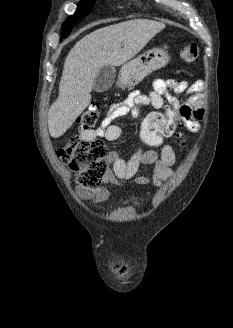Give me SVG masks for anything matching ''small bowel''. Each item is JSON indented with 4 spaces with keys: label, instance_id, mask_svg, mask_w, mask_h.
<instances>
[{
    "label": "small bowel",
    "instance_id": "obj_1",
    "mask_svg": "<svg viewBox=\"0 0 233 328\" xmlns=\"http://www.w3.org/2000/svg\"><path fill=\"white\" fill-rule=\"evenodd\" d=\"M169 89L176 93L188 94V100L180 104L168 93ZM202 96L203 81L201 80L189 84L187 81H177L175 79H156L150 92L133 91L122 102L112 104L100 126L96 130L83 131L80 137L85 140L103 137L108 141H115L122 134L121 127L112 124L115 119L127 115L136 118L143 106L161 109L166 104L170 106L172 111L180 114L184 126L189 131L197 132L200 129V121L204 116ZM108 160L113 164V169L107 172L104 178L105 183L121 185L126 180L134 179L140 185L152 183L160 187L164 181L173 175L172 166L176 157L173 148L168 144H163L160 151L140 149L128 160L120 158L115 151H111L108 154ZM142 165L152 166L151 177L139 173ZM76 193L81 199L88 200L93 204L106 201L110 195L109 190L105 187L94 191L77 187ZM114 267L119 274H125L128 270V265L123 260L114 262Z\"/></svg>",
    "mask_w": 233,
    "mask_h": 328
}]
</instances>
